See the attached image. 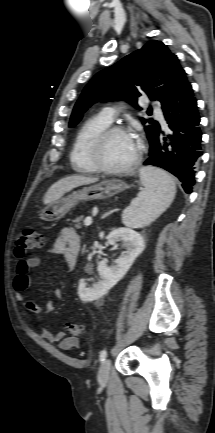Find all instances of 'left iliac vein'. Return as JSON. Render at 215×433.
<instances>
[{
  "label": "left iliac vein",
  "instance_id": "left-iliac-vein-1",
  "mask_svg": "<svg viewBox=\"0 0 215 433\" xmlns=\"http://www.w3.org/2000/svg\"><path fill=\"white\" fill-rule=\"evenodd\" d=\"M109 371H110V360L106 359L102 362L99 369L98 381L100 383H106L108 381Z\"/></svg>",
  "mask_w": 215,
  "mask_h": 433
}]
</instances>
